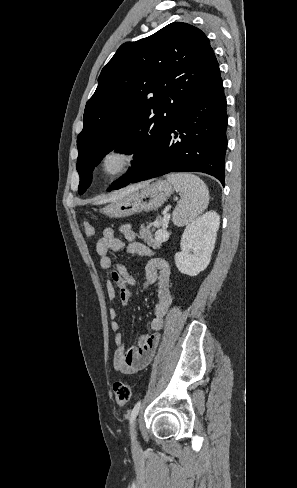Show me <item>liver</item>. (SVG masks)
Returning <instances> with one entry per match:
<instances>
[{"label": "liver", "mask_w": 297, "mask_h": 488, "mask_svg": "<svg viewBox=\"0 0 297 488\" xmlns=\"http://www.w3.org/2000/svg\"><path fill=\"white\" fill-rule=\"evenodd\" d=\"M146 185H147V183H142V184H138V185H134V186L127 187L126 189L121 190L119 192L109 194L108 196H106L105 198H103V200L104 201H114V200H117V199L121 198L122 196H124V195H126L128 193L134 192V191H136V190H138L140 188H144Z\"/></svg>", "instance_id": "liver-1"}]
</instances>
